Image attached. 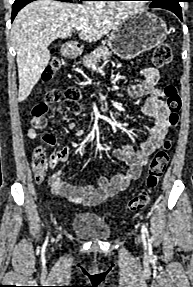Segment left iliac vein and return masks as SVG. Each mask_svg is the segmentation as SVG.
Here are the masks:
<instances>
[{"instance_id": "obj_1", "label": "left iliac vein", "mask_w": 193, "mask_h": 287, "mask_svg": "<svg viewBox=\"0 0 193 287\" xmlns=\"http://www.w3.org/2000/svg\"><path fill=\"white\" fill-rule=\"evenodd\" d=\"M138 239H139V240H142V236H141V235H138Z\"/></svg>"}]
</instances>
